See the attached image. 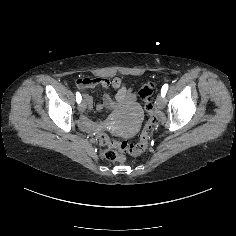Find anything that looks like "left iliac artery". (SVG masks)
<instances>
[{
	"label": "left iliac artery",
	"mask_w": 236,
	"mask_h": 236,
	"mask_svg": "<svg viewBox=\"0 0 236 236\" xmlns=\"http://www.w3.org/2000/svg\"><path fill=\"white\" fill-rule=\"evenodd\" d=\"M167 90H168V84H164L162 86V89H161V95L162 97H165L166 93H167Z\"/></svg>",
	"instance_id": "obj_1"
}]
</instances>
